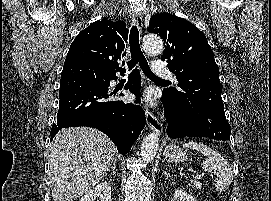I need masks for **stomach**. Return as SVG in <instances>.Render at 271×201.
<instances>
[{
  "label": "stomach",
  "instance_id": "obj_1",
  "mask_svg": "<svg viewBox=\"0 0 271 201\" xmlns=\"http://www.w3.org/2000/svg\"><path fill=\"white\" fill-rule=\"evenodd\" d=\"M164 156L168 162H184L187 159V152L176 145H170L164 150Z\"/></svg>",
  "mask_w": 271,
  "mask_h": 201
}]
</instances>
